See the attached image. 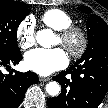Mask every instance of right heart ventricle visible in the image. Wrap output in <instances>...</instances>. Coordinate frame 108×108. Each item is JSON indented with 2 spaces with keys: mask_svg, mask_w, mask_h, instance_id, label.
Wrapping results in <instances>:
<instances>
[{
  "mask_svg": "<svg viewBox=\"0 0 108 108\" xmlns=\"http://www.w3.org/2000/svg\"><path fill=\"white\" fill-rule=\"evenodd\" d=\"M42 22L48 27L60 31L73 25V18L61 9H50L41 15Z\"/></svg>",
  "mask_w": 108,
  "mask_h": 108,
  "instance_id": "right-heart-ventricle-1",
  "label": "right heart ventricle"
}]
</instances>
